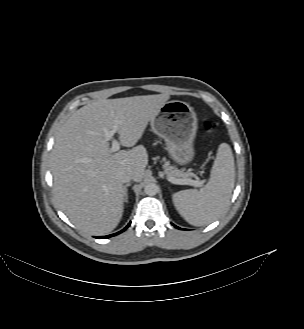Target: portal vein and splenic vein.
Segmentation results:
<instances>
[{"instance_id":"18ae733b","label":"portal vein and splenic vein","mask_w":304,"mask_h":329,"mask_svg":"<svg viewBox=\"0 0 304 329\" xmlns=\"http://www.w3.org/2000/svg\"><path fill=\"white\" fill-rule=\"evenodd\" d=\"M118 127L115 126L112 130L110 131H105L104 136L107 140H111L112 141V146H111V151L112 152H116L120 149V143L118 142L117 139L114 138L115 133L117 132ZM166 179L173 183V184H180V185H192L195 187H202L204 185V181L203 180H193L190 178L187 179H177V178H173L171 176H167Z\"/></svg>"}]
</instances>
